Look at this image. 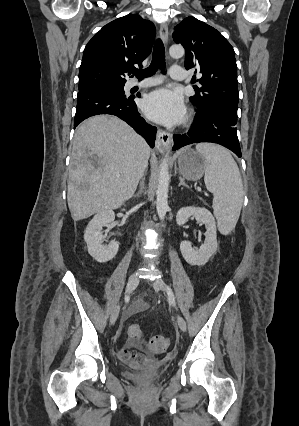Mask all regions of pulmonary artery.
<instances>
[{"label":"pulmonary artery","instance_id":"pulmonary-artery-1","mask_svg":"<svg viewBox=\"0 0 299 426\" xmlns=\"http://www.w3.org/2000/svg\"><path fill=\"white\" fill-rule=\"evenodd\" d=\"M169 75H170L171 79L176 80V81H182V80L185 79L184 69L180 66H177V65H173L170 68ZM162 81H163L162 76H156V77H151V78L145 79L141 82H135V83L132 84V86L149 87V86L158 85Z\"/></svg>","mask_w":299,"mask_h":426}]
</instances>
